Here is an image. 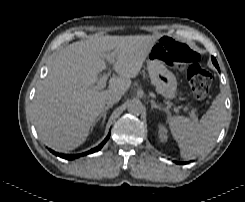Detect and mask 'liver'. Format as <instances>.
Listing matches in <instances>:
<instances>
[{"label":"liver","mask_w":245,"mask_h":202,"mask_svg":"<svg viewBox=\"0 0 245 202\" xmlns=\"http://www.w3.org/2000/svg\"><path fill=\"white\" fill-rule=\"evenodd\" d=\"M158 37L152 35L89 36L62 48L33 101L34 124L48 147L67 152L85 142L105 107L110 91L123 94L140 72ZM116 53L107 90H98V75L106 69L105 53Z\"/></svg>","instance_id":"1"}]
</instances>
